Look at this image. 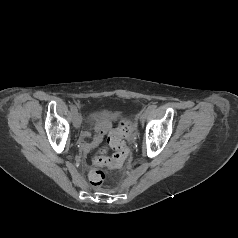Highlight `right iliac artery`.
Masks as SVG:
<instances>
[{
  "label": "right iliac artery",
  "mask_w": 238,
  "mask_h": 238,
  "mask_svg": "<svg viewBox=\"0 0 238 238\" xmlns=\"http://www.w3.org/2000/svg\"><path fill=\"white\" fill-rule=\"evenodd\" d=\"M71 112L73 114H76L78 112L77 108L75 106H71Z\"/></svg>",
  "instance_id": "1"
}]
</instances>
